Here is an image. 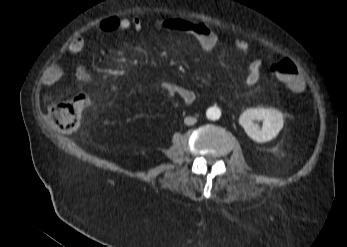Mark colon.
<instances>
[{"mask_svg": "<svg viewBox=\"0 0 347 247\" xmlns=\"http://www.w3.org/2000/svg\"><path fill=\"white\" fill-rule=\"evenodd\" d=\"M271 71L287 87L296 91L302 88L300 71L292 60L285 58L272 63ZM94 105V96L89 92H82L75 99L53 104L48 110V116L61 132L68 133L79 127L83 111L91 110Z\"/></svg>", "mask_w": 347, "mask_h": 247, "instance_id": "5ec220e1", "label": "colon"}]
</instances>
